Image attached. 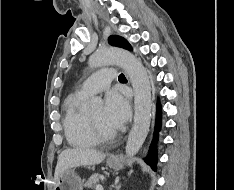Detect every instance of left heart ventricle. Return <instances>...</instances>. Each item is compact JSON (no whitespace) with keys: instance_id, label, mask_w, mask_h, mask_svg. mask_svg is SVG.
<instances>
[{"instance_id":"b2bd125f","label":"left heart ventricle","mask_w":234,"mask_h":190,"mask_svg":"<svg viewBox=\"0 0 234 190\" xmlns=\"http://www.w3.org/2000/svg\"><path fill=\"white\" fill-rule=\"evenodd\" d=\"M90 116L106 130H114V128L109 126L105 120L103 107H99L94 110L92 113H90Z\"/></svg>"}]
</instances>
